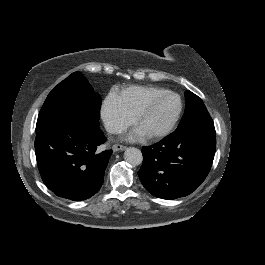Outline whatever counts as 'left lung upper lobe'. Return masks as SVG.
Instances as JSON below:
<instances>
[{"label": "left lung upper lobe", "mask_w": 265, "mask_h": 265, "mask_svg": "<svg viewBox=\"0 0 265 265\" xmlns=\"http://www.w3.org/2000/svg\"><path fill=\"white\" fill-rule=\"evenodd\" d=\"M186 109L179 125L209 115L203 101L191 91L185 92Z\"/></svg>", "instance_id": "1"}]
</instances>
